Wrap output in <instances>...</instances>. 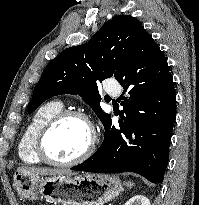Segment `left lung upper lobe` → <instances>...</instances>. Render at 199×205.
I'll use <instances>...</instances> for the list:
<instances>
[{"mask_svg":"<svg viewBox=\"0 0 199 205\" xmlns=\"http://www.w3.org/2000/svg\"><path fill=\"white\" fill-rule=\"evenodd\" d=\"M144 30L142 24L130 15L115 16L88 43L63 50L48 64L35 86L28 113L55 95L78 94L105 127L111 116L100 107L97 82L112 76L118 81L125 61Z\"/></svg>","mask_w":199,"mask_h":205,"instance_id":"5c2ea615","label":"left lung upper lobe"}]
</instances>
